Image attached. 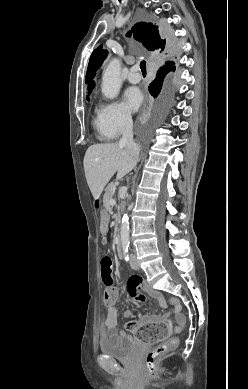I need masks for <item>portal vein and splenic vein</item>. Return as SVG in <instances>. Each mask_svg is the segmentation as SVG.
<instances>
[{"instance_id": "1", "label": "portal vein and splenic vein", "mask_w": 248, "mask_h": 389, "mask_svg": "<svg viewBox=\"0 0 248 389\" xmlns=\"http://www.w3.org/2000/svg\"><path fill=\"white\" fill-rule=\"evenodd\" d=\"M115 204H116V200H115L114 198H111V199H110V205L113 206V205H115Z\"/></svg>"}]
</instances>
